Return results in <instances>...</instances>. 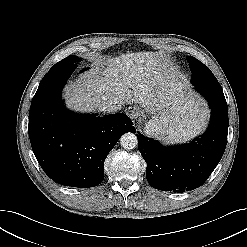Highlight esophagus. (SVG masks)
<instances>
[{
    "instance_id": "34e87169",
    "label": "esophagus",
    "mask_w": 247,
    "mask_h": 247,
    "mask_svg": "<svg viewBox=\"0 0 247 247\" xmlns=\"http://www.w3.org/2000/svg\"><path fill=\"white\" fill-rule=\"evenodd\" d=\"M125 111L133 122L137 121L139 117V108L137 106L128 107Z\"/></svg>"
}]
</instances>
